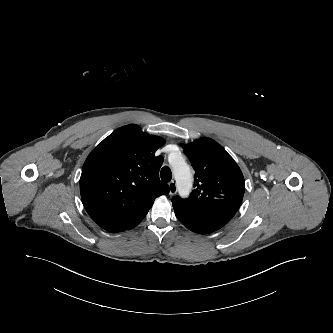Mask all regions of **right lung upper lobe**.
Listing matches in <instances>:
<instances>
[{"mask_svg":"<svg viewBox=\"0 0 333 333\" xmlns=\"http://www.w3.org/2000/svg\"><path fill=\"white\" fill-rule=\"evenodd\" d=\"M164 139L137 125L123 126L87 157L80 178L82 203L89 216L109 232L139 224L154 200L169 193L159 180L162 156L155 152Z\"/></svg>","mask_w":333,"mask_h":333,"instance_id":"right-lung-upper-lobe-1","label":"right lung upper lobe"}]
</instances>
